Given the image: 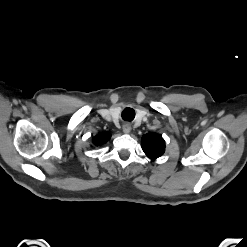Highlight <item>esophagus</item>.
<instances>
[{
	"label": "esophagus",
	"mask_w": 247,
	"mask_h": 247,
	"mask_svg": "<svg viewBox=\"0 0 247 247\" xmlns=\"http://www.w3.org/2000/svg\"><path fill=\"white\" fill-rule=\"evenodd\" d=\"M130 131H131V126H130V124L125 123V124L123 125V132L126 133V134H128V133H130Z\"/></svg>",
	"instance_id": "esophagus-1"
}]
</instances>
